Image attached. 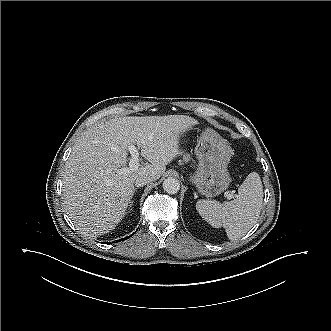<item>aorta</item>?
I'll return each mask as SVG.
<instances>
[{
    "label": "aorta",
    "mask_w": 331,
    "mask_h": 331,
    "mask_svg": "<svg viewBox=\"0 0 331 331\" xmlns=\"http://www.w3.org/2000/svg\"><path fill=\"white\" fill-rule=\"evenodd\" d=\"M163 189L168 194H176L180 190L179 180L173 177H168L163 182Z\"/></svg>",
    "instance_id": "1"
}]
</instances>
